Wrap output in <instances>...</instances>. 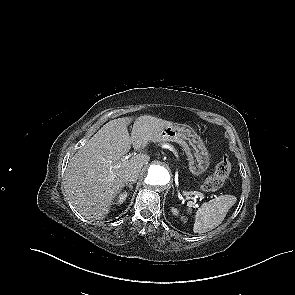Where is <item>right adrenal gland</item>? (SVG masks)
Here are the masks:
<instances>
[{"instance_id":"obj_1","label":"right adrenal gland","mask_w":295,"mask_h":295,"mask_svg":"<svg viewBox=\"0 0 295 295\" xmlns=\"http://www.w3.org/2000/svg\"><path fill=\"white\" fill-rule=\"evenodd\" d=\"M135 182H130V183H127L126 186L129 188V190L131 191L132 190V187H133V184Z\"/></svg>"}]
</instances>
